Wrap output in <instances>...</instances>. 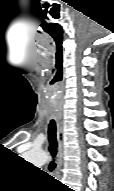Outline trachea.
<instances>
[{"mask_svg":"<svg viewBox=\"0 0 114 191\" xmlns=\"http://www.w3.org/2000/svg\"><path fill=\"white\" fill-rule=\"evenodd\" d=\"M56 122L55 120H51L48 127V140H49V151L51 153V156L53 157V160L50 162L48 169L49 171H53L56 168V163L54 161V158L56 157L57 153V138H56Z\"/></svg>","mask_w":114,"mask_h":191,"instance_id":"1","label":"trachea"}]
</instances>
